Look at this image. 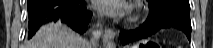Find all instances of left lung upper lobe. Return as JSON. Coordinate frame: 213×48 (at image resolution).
Masks as SVG:
<instances>
[{"instance_id":"5c2ea615","label":"left lung upper lobe","mask_w":213,"mask_h":48,"mask_svg":"<svg viewBox=\"0 0 213 48\" xmlns=\"http://www.w3.org/2000/svg\"><path fill=\"white\" fill-rule=\"evenodd\" d=\"M150 8H157L164 4H172L190 10L189 0H148Z\"/></svg>"}]
</instances>
